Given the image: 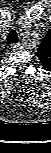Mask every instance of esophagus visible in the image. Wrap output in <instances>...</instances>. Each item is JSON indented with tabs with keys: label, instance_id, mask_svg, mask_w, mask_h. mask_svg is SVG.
Returning <instances> with one entry per match:
<instances>
[{
	"label": "esophagus",
	"instance_id": "34e87169",
	"mask_svg": "<svg viewBox=\"0 0 51 153\" xmlns=\"http://www.w3.org/2000/svg\"><path fill=\"white\" fill-rule=\"evenodd\" d=\"M20 48H21L20 44H14V45L12 46V50H18V49H20Z\"/></svg>",
	"mask_w": 51,
	"mask_h": 153
}]
</instances>
